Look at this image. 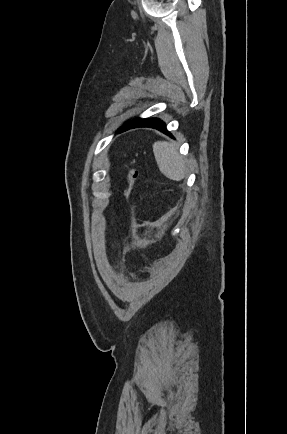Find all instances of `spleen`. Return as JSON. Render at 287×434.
Returning a JSON list of instances; mask_svg holds the SVG:
<instances>
[{
    "label": "spleen",
    "mask_w": 287,
    "mask_h": 434,
    "mask_svg": "<svg viewBox=\"0 0 287 434\" xmlns=\"http://www.w3.org/2000/svg\"><path fill=\"white\" fill-rule=\"evenodd\" d=\"M153 152L158 167L163 175L174 181H181L186 175L184 159L179 155L175 144L157 141L153 144Z\"/></svg>",
    "instance_id": "spleen-1"
}]
</instances>
